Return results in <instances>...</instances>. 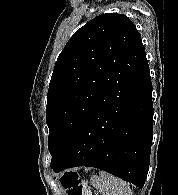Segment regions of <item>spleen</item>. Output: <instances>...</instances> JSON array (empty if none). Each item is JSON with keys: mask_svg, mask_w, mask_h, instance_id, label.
I'll return each mask as SVG.
<instances>
[{"mask_svg": "<svg viewBox=\"0 0 178 195\" xmlns=\"http://www.w3.org/2000/svg\"><path fill=\"white\" fill-rule=\"evenodd\" d=\"M91 184L103 195H132L129 184L106 172L101 171L98 176H93Z\"/></svg>", "mask_w": 178, "mask_h": 195, "instance_id": "3e777b00", "label": "spleen"}]
</instances>
